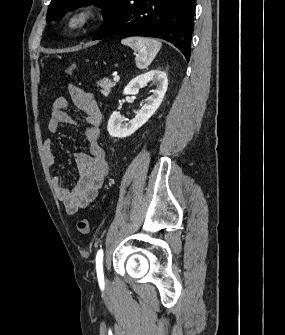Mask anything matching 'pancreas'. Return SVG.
Wrapping results in <instances>:
<instances>
[{"label":"pancreas","instance_id":"1","mask_svg":"<svg viewBox=\"0 0 285 335\" xmlns=\"http://www.w3.org/2000/svg\"><path fill=\"white\" fill-rule=\"evenodd\" d=\"M97 86L101 88L100 92L103 96H109L111 88H114L116 84L115 82H112V80H109V78H103V80H99V82H97Z\"/></svg>","mask_w":285,"mask_h":335}]
</instances>
